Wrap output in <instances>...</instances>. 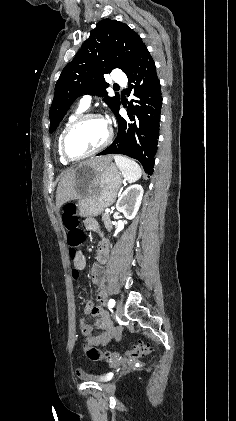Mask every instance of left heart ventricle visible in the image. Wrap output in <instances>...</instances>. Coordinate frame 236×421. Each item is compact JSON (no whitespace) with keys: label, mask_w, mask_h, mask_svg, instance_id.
<instances>
[{"label":"left heart ventricle","mask_w":236,"mask_h":421,"mask_svg":"<svg viewBox=\"0 0 236 421\" xmlns=\"http://www.w3.org/2000/svg\"><path fill=\"white\" fill-rule=\"evenodd\" d=\"M107 125L99 119L85 120L77 125L68 138V148L76 156L86 154L106 139Z\"/></svg>","instance_id":"1"}]
</instances>
